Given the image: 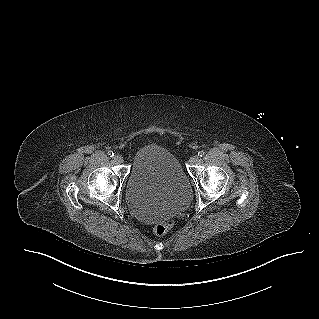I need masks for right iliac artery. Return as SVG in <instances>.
<instances>
[{"instance_id": "obj_1", "label": "right iliac artery", "mask_w": 319, "mask_h": 319, "mask_svg": "<svg viewBox=\"0 0 319 319\" xmlns=\"http://www.w3.org/2000/svg\"><path fill=\"white\" fill-rule=\"evenodd\" d=\"M107 154H108V156H109V157H113V156H114L113 151H108V153H107Z\"/></svg>"}]
</instances>
